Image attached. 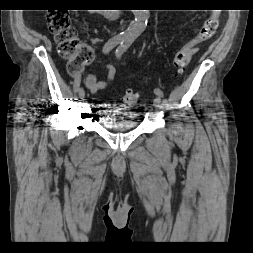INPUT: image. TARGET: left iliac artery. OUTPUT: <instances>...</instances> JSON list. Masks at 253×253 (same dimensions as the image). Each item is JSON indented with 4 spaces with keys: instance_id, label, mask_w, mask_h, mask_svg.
Listing matches in <instances>:
<instances>
[{
    "instance_id": "obj_1",
    "label": "left iliac artery",
    "mask_w": 253,
    "mask_h": 253,
    "mask_svg": "<svg viewBox=\"0 0 253 253\" xmlns=\"http://www.w3.org/2000/svg\"><path fill=\"white\" fill-rule=\"evenodd\" d=\"M132 41L129 40H124L121 45L117 48L116 50V57L120 58L122 56V54L128 49V47L131 45ZM154 93L158 96V97H163V92L161 89L156 88L154 90Z\"/></svg>"
}]
</instances>
